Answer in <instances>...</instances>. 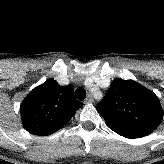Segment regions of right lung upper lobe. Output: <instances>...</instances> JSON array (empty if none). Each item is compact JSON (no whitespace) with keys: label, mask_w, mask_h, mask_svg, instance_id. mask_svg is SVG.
<instances>
[{"label":"right lung upper lobe","mask_w":164,"mask_h":164,"mask_svg":"<svg viewBox=\"0 0 164 164\" xmlns=\"http://www.w3.org/2000/svg\"><path fill=\"white\" fill-rule=\"evenodd\" d=\"M70 85L60 86L48 79L34 88L21 104L24 128L34 135L46 136L58 131L83 107L75 99Z\"/></svg>","instance_id":"right-lung-upper-lobe-1"}]
</instances>
